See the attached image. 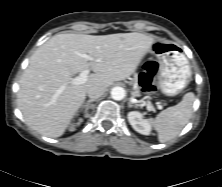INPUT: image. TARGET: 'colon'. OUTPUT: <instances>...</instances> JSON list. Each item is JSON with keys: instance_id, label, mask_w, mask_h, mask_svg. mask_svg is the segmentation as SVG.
Wrapping results in <instances>:
<instances>
[{"instance_id": "obj_1", "label": "colon", "mask_w": 222, "mask_h": 187, "mask_svg": "<svg viewBox=\"0 0 222 187\" xmlns=\"http://www.w3.org/2000/svg\"><path fill=\"white\" fill-rule=\"evenodd\" d=\"M157 75V67L152 63H147L144 68V72L141 78V85L144 90L148 92H155L156 85L153 82V79Z\"/></svg>"}]
</instances>
